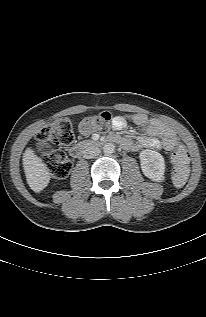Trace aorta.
<instances>
[{
    "mask_svg": "<svg viewBox=\"0 0 206 317\" xmlns=\"http://www.w3.org/2000/svg\"><path fill=\"white\" fill-rule=\"evenodd\" d=\"M103 151L105 154H112L115 151V145L113 143H106L103 146Z\"/></svg>",
    "mask_w": 206,
    "mask_h": 317,
    "instance_id": "obj_1",
    "label": "aorta"
}]
</instances>
